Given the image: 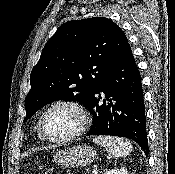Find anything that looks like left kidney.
Wrapping results in <instances>:
<instances>
[{"label": "left kidney", "instance_id": "1", "mask_svg": "<svg viewBox=\"0 0 175 174\" xmlns=\"http://www.w3.org/2000/svg\"><path fill=\"white\" fill-rule=\"evenodd\" d=\"M104 174H128V172L124 168H121V169L114 168V169H111L109 171H106V173H104Z\"/></svg>", "mask_w": 175, "mask_h": 174}]
</instances>
